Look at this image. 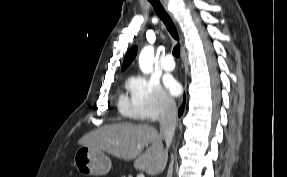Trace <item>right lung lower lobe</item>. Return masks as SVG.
<instances>
[{"label":"right lung lower lobe","instance_id":"right-lung-lower-lobe-1","mask_svg":"<svg viewBox=\"0 0 287 177\" xmlns=\"http://www.w3.org/2000/svg\"><path fill=\"white\" fill-rule=\"evenodd\" d=\"M182 113H183V106H182L181 109L179 110L178 115L181 116Z\"/></svg>","mask_w":287,"mask_h":177}]
</instances>
